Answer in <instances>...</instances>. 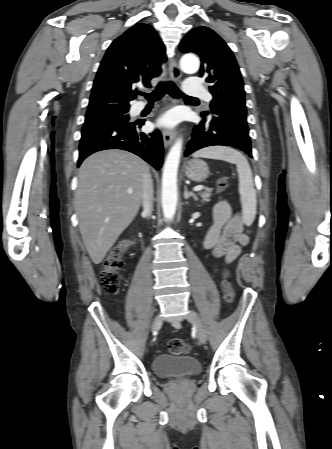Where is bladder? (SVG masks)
<instances>
[{
  "instance_id": "bladder-1",
  "label": "bladder",
  "mask_w": 332,
  "mask_h": 449,
  "mask_svg": "<svg viewBox=\"0 0 332 449\" xmlns=\"http://www.w3.org/2000/svg\"><path fill=\"white\" fill-rule=\"evenodd\" d=\"M154 373L163 379L182 376H196L202 367L200 362L191 356H175L159 354L152 362Z\"/></svg>"
}]
</instances>
